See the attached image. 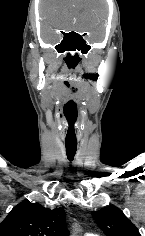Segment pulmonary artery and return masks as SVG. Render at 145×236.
<instances>
[{
  "label": "pulmonary artery",
  "mask_w": 145,
  "mask_h": 236,
  "mask_svg": "<svg viewBox=\"0 0 145 236\" xmlns=\"http://www.w3.org/2000/svg\"><path fill=\"white\" fill-rule=\"evenodd\" d=\"M85 236H97L96 234H93V233H88L86 234Z\"/></svg>",
  "instance_id": "pulmonary-artery-1"
}]
</instances>
